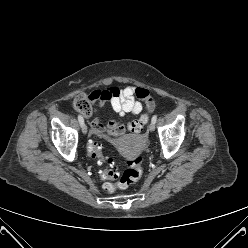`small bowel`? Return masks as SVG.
Here are the masks:
<instances>
[{
    "label": "small bowel",
    "mask_w": 248,
    "mask_h": 248,
    "mask_svg": "<svg viewBox=\"0 0 248 248\" xmlns=\"http://www.w3.org/2000/svg\"><path fill=\"white\" fill-rule=\"evenodd\" d=\"M98 96L100 102H109L113 110L121 117L128 114L138 115L143 109L145 111L154 109V102L150 100V92L144 87L126 86L121 89L110 87L107 90H100ZM141 100L144 101L143 105ZM125 130L124 124L114 120L103 124L99 116H96L91 123V133L95 136L118 137L124 134Z\"/></svg>",
    "instance_id": "c3829d8e"
}]
</instances>
